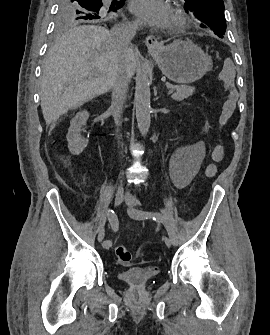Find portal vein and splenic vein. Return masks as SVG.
I'll list each match as a JSON object with an SVG mask.
<instances>
[{"label": "portal vein and splenic vein", "mask_w": 270, "mask_h": 335, "mask_svg": "<svg viewBox=\"0 0 270 335\" xmlns=\"http://www.w3.org/2000/svg\"><path fill=\"white\" fill-rule=\"evenodd\" d=\"M168 93H167V96H171L172 94H171V92L172 93H175V87H172V91L169 89L168 91H167Z\"/></svg>", "instance_id": "18ae733b"}]
</instances>
